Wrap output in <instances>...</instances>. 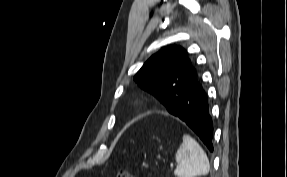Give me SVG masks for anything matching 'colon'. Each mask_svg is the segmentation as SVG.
<instances>
[{
    "mask_svg": "<svg viewBox=\"0 0 287 177\" xmlns=\"http://www.w3.org/2000/svg\"><path fill=\"white\" fill-rule=\"evenodd\" d=\"M117 177H134V175L127 170H120L117 174Z\"/></svg>",
    "mask_w": 287,
    "mask_h": 177,
    "instance_id": "obj_1",
    "label": "colon"
}]
</instances>
